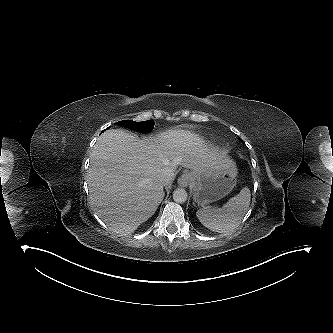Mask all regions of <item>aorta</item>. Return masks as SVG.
I'll return each instance as SVG.
<instances>
[{"instance_id":"1","label":"aorta","mask_w":333,"mask_h":333,"mask_svg":"<svg viewBox=\"0 0 333 333\" xmlns=\"http://www.w3.org/2000/svg\"><path fill=\"white\" fill-rule=\"evenodd\" d=\"M187 197H188L187 192L183 188H177L173 192V199L177 203H184V202H186Z\"/></svg>"}]
</instances>
